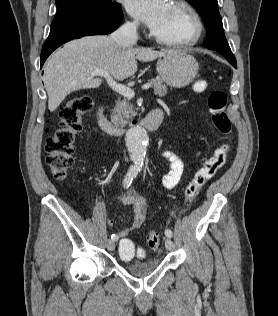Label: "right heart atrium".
<instances>
[{"label":"right heart atrium","mask_w":278,"mask_h":316,"mask_svg":"<svg viewBox=\"0 0 278 316\" xmlns=\"http://www.w3.org/2000/svg\"><path fill=\"white\" fill-rule=\"evenodd\" d=\"M126 27H127V29H129L131 31H135L138 27V24L135 21H129L126 23Z\"/></svg>","instance_id":"1"}]
</instances>
